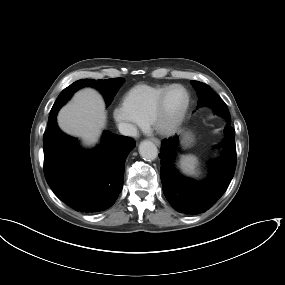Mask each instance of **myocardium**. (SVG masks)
<instances>
[{"label": "myocardium", "instance_id": "1", "mask_svg": "<svg viewBox=\"0 0 285 285\" xmlns=\"http://www.w3.org/2000/svg\"><path fill=\"white\" fill-rule=\"evenodd\" d=\"M174 88H180L182 89L185 94H186V102L180 113L170 122L165 123L163 121V116L165 113V108H166V101L167 97L170 93V91ZM191 106V95L188 91V89L181 85V84H171L169 85L164 92L162 93L161 97L159 98L158 102L154 106L147 124L155 130L157 133L161 135H172L174 134L180 126L183 124L186 115L190 109Z\"/></svg>", "mask_w": 285, "mask_h": 285}]
</instances>
